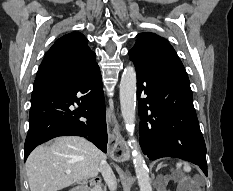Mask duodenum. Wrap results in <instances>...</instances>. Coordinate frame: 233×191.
Listing matches in <instances>:
<instances>
[{
    "label": "duodenum",
    "instance_id": "1",
    "mask_svg": "<svg viewBox=\"0 0 233 191\" xmlns=\"http://www.w3.org/2000/svg\"><path fill=\"white\" fill-rule=\"evenodd\" d=\"M73 191H90L89 188H84V187H78L74 189Z\"/></svg>",
    "mask_w": 233,
    "mask_h": 191
}]
</instances>
